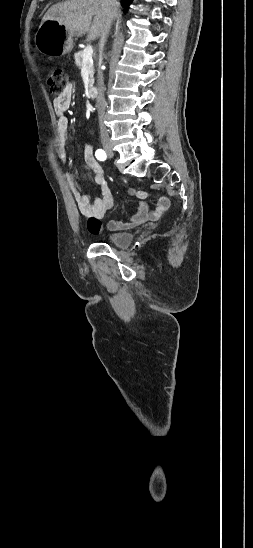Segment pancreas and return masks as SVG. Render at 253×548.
<instances>
[{
	"label": "pancreas",
	"instance_id": "1",
	"mask_svg": "<svg viewBox=\"0 0 253 548\" xmlns=\"http://www.w3.org/2000/svg\"><path fill=\"white\" fill-rule=\"evenodd\" d=\"M74 58H75V64H76L77 67L82 68L85 65L84 62H83V51H79V52L75 53ZM86 66H87L88 71H89L90 83H91V85H93V83H94L93 60L92 59L89 60L86 63Z\"/></svg>",
	"mask_w": 253,
	"mask_h": 548
}]
</instances>
